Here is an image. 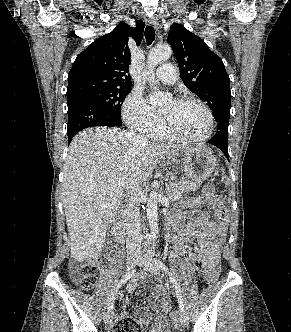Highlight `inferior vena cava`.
Masks as SVG:
<instances>
[{
  "instance_id": "1",
  "label": "inferior vena cava",
  "mask_w": 291,
  "mask_h": 332,
  "mask_svg": "<svg viewBox=\"0 0 291 332\" xmlns=\"http://www.w3.org/2000/svg\"><path fill=\"white\" fill-rule=\"evenodd\" d=\"M135 143L145 144L147 138L135 132L129 133ZM140 186L133 184L127 188V209H126V248L129 254L141 253V223H140Z\"/></svg>"
}]
</instances>
